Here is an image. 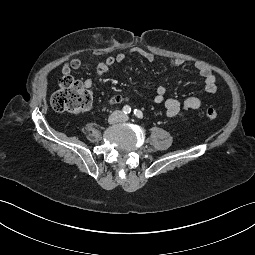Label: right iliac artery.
Here are the masks:
<instances>
[{"label": "right iliac artery", "mask_w": 255, "mask_h": 255, "mask_svg": "<svg viewBox=\"0 0 255 255\" xmlns=\"http://www.w3.org/2000/svg\"><path fill=\"white\" fill-rule=\"evenodd\" d=\"M123 112H124L125 114H129V113L131 112V107L128 106V105L124 106V107H123Z\"/></svg>", "instance_id": "obj_1"}]
</instances>
